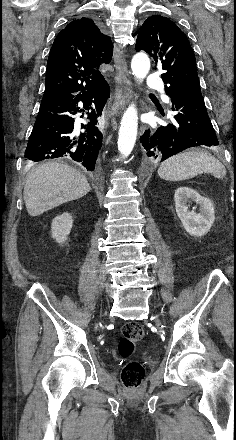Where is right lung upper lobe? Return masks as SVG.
Instances as JSON below:
<instances>
[{
    "label": "right lung upper lobe",
    "mask_w": 236,
    "mask_h": 440,
    "mask_svg": "<svg viewBox=\"0 0 236 440\" xmlns=\"http://www.w3.org/2000/svg\"><path fill=\"white\" fill-rule=\"evenodd\" d=\"M113 45L88 18L70 22L55 38L47 61L43 98L93 90L105 81L99 66L110 63Z\"/></svg>",
    "instance_id": "cb5924a9"
}]
</instances>
